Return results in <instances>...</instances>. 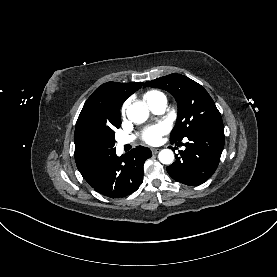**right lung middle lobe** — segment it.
Listing matches in <instances>:
<instances>
[{
  "label": "right lung middle lobe",
  "mask_w": 277,
  "mask_h": 277,
  "mask_svg": "<svg viewBox=\"0 0 277 277\" xmlns=\"http://www.w3.org/2000/svg\"><path fill=\"white\" fill-rule=\"evenodd\" d=\"M119 128V127H117ZM114 128L106 129L99 131L95 134V138L98 141L99 145L101 146L104 153L110 152L114 150L115 146V139L114 135L115 132L113 130Z\"/></svg>",
  "instance_id": "right-lung-middle-lobe-1"
}]
</instances>
